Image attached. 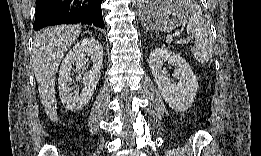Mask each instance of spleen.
<instances>
[{"label":"spleen","instance_id":"1","mask_svg":"<svg viewBox=\"0 0 261 156\" xmlns=\"http://www.w3.org/2000/svg\"><path fill=\"white\" fill-rule=\"evenodd\" d=\"M184 6L190 8V16L188 21H185L187 32L192 39H195L191 52L197 61L206 63L212 58L214 43L209 24L203 18L199 5L184 2Z\"/></svg>","mask_w":261,"mask_h":156}]
</instances>
